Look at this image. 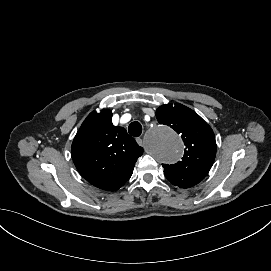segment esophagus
<instances>
[{"label":"esophagus","mask_w":271,"mask_h":271,"mask_svg":"<svg viewBox=\"0 0 271 271\" xmlns=\"http://www.w3.org/2000/svg\"><path fill=\"white\" fill-rule=\"evenodd\" d=\"M144 137L142 135H139L136 138V142L141 146L143 144Z\"/></svg>","instance_id":"esophagus-1"}]
</instances>
